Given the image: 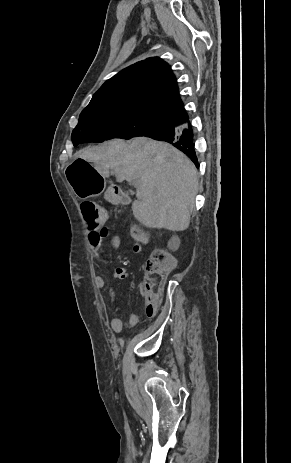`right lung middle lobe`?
I'll use <instances>...</instances> for the list:
<instances>
[{
  "instance_id": "1",
  "label": "right lung middle lobe",
  "mask_w": 291,
  "mask_h": 463,
  "mask_svg": "<svg viewBox=\"0 0 291 463\" xmlns=\"http://www.w3.org/2000/svg\"><path fill=\"white\" fill-rule=\"evenodd\" d=\"M167 125L165 119L141 112L84 109L72 132V141L74 146H77L84 142H104L114 138L128 140Z\"/></svg>"
}]
</instances>
